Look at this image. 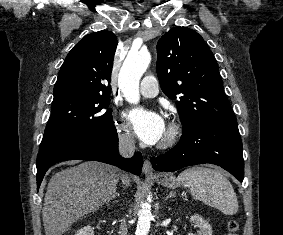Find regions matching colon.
I'll return each mask as SVG.
<instances>
[{
	"label": "colon",
	"instance_id": "1",
	"mask_svg": "<svg viewBox=\"0 0 283 235\" xmlns=\"http://www.w3.org/2000/svg\"><path fill=\"white\" fill-rule=\"evenodd\" d=\"M238 229H239V225L237 223V221L231 219L227 222V230H228V234L227 235H238Z\"/></svg>",
	"mask_w": 283,
	"mask_h": 235
}]
</instances>
